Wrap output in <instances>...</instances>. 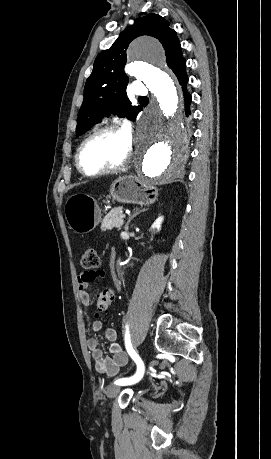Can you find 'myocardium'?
Segmentation results:
<instances>
[{"mask_svg":"<svg viewBox=\"0 0 271 459\" xmlns=\"http://www.w3.org/2000/svg\"><path fill=\"white\" fill-rule=\"evenodd\" d=\"M107 131L123 132V128H122V125L119 124L117 121H112L110 123L102 125V126L96 128V129H94L93 131H91L89 134H87L84 137V139L79 144V147L77 148V151L75 153V164H76V167H77L78 171L80 173H82L83 175L88 176V177H93V176H96V175H100V174H104V173L120 170L121 168H123L124 166H126L128 164V162H129V160H130V158L132 156V152H133V147L132 146H131L130 150L128 151V153L121 160H119L116 163L104 165V166H101V167H98V168H95V169H92V170H89V169L84 167V165L82 163L81 156H82V151H83V148H84L85 144L91 138H93L94 136H96V135H98L100 133H103V132H107Z\"/></svg>","mask_w":271,"mask_h":459,"instance_id":"1","label":"myocardium"}]
</instances>
